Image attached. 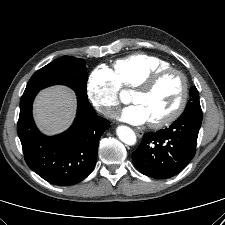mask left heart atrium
Wrapping results in <instances>:
<instances>
[{
	"mask_svg": "<svg viewBox=\"0 0 225 225\" xmlns=\"http://www.w3.org/2000/svg\"><path fill=\"white\" fill-rule=\"evenodd\" d=\"M121 120L134 125H141L149 121L144 108L139 104H132L125 107L120 113Z\"/></svg>",
	"mask_w": 225,
	"mask_h": 225,
	"instance_id": "left-heart-atrium-1",
	"label": "left heart atrium"
}]
</instances>
